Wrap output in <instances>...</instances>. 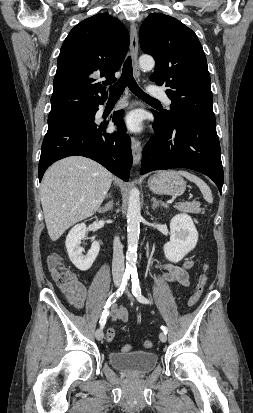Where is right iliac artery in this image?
<instances>
[{"label": "right iliac artery", "instance_id": "82829eb1", "mask_svg": "<svg viewBox=\"0 0 253 413\" xmlns=\"http://www.w3.org/2000/svg\"><path fill=\"white\" fill-rule=\"evenodd\" d=\"M129 276H130L129 273H125V274H124L123 279H122L121 286L119 287V289H118L115 293H113V294L108 298V300H107V302H106V305H105V307H104L105 310L102 312V315H101V318H100V321H99L101 329H103V327H104V325H105V323H106V319H107V316H108V314H109L108 308H109L113 303H115L116 300L123 294V292H124V290H125V287H126V285H127V282H128V280H129Z\"/></svg>", "mask_w": 253, "mask_h": 413}]
</instances>
